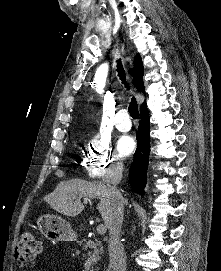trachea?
Here are the masks:
<instances>
[{
    "instance_id": "1",
    "label": "trachea",
    "mask_w": 221,
    "mask_h": 271,
    "mask_svg": "<svg viewBox=\"0 0 221 271\" xmlns=\"http://www.w3.org/2000/svg\"><path fill=\"white\" fill-rule=\"evenodd\" d=\"M117 71H118V76L120 77V80L125 85V88L129 90L130 88L126 81L125 72L120 61L117 65ZM128 112L130 113V116L133 118V120H139L138 104L134 96L131 99L130 105L128 107Z\"/></svg>"
}]
</instances>
